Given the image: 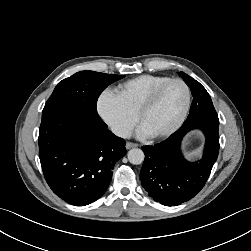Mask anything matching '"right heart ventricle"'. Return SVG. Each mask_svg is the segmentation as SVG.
Listing matches in <instances>:
<instances>
[{
    "label": "right heart ventricle",
    "mask_w": 251,
    "mask_h": 251,
    "mask_svg": "<svg viewBox=\"0 0 251 251\" xmlns=\"http://www.w3.org/2000/svg\"><path fill=\"white\" fill-rule=\"evenodd\" d=\"M169 79L170 77L162 75H140L119 84L115 92L126 107L137 114L140 105L150 93Z\"/></svg>",
    "instance_id": "right-heart-ventricle-1"
}]
</instances>
